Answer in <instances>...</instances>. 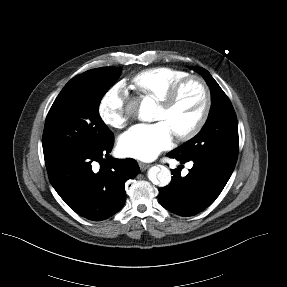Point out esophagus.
Here are the masks:
<instances>
[{
	"instance_id": "34e87169",
	"label": "esophagus",
	"mask_w": 287,
	"mask_h": 287,
	"mask_svg": "<svg viewBox=\"0 0 287 287\" xmlns=\"http://www.w3.org/2000/svg\"><path fill=\"white\" fill-rule=\"evenodd\" d=\"M138 164H139L140 169L143 171L150 167V164H147V163L139 162Z\"/></svg>"
}]
</instances>
